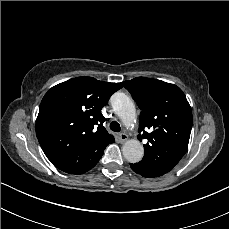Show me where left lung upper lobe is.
<instances>
[{
    "label": "left lung upper lobe",
    "instance_id": "obj_1",
    "mask_svg": "<svg viewBox=\"0 0 229 229\" xmlns=\"http://www.w3.org/2000/svg\"><path fill=\"white\" fill-rule=\"evenodd\" d=\"M142 110L139 140L147 139L145 154L137 163L159 177L174 168L186 153L193 117L183 91L161 80L137 77L121 83ZM152 129L151 133L146 132Z\"/></svg>",
    "mask_w": 229,
    "mask_h": 229
}]
</instances>
